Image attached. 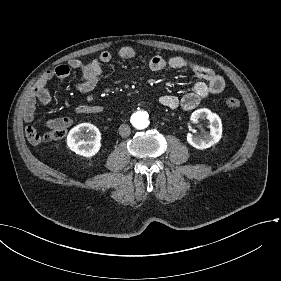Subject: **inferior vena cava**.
I'll list each match as a JSON object with an SVG mask.
<instances>
[{"instance_id": "602c4592", "label": "inferior vena cava", "mask_w": 281, "mask_h": 281, "mask_svg": "<svg viewBox=\"0 0 281 281\" xmlns=\"http://www.w3.org/2000/svg\"><path fill=\"white\" fill-rule=\"evenodd\" d=\"M130 127L128 124H121L119 127V134L122 137H128L130 134Z\"/></svg>"}]
</instances>
